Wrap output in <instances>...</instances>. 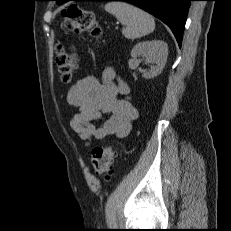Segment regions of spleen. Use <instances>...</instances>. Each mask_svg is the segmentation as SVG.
Instances as JSON below:
<instances>
[{"instance_id":"obj_1","label":"spleen","mask_w":231,"mask_h":231,"mask_svg":"<svg viewBox=\"0 0 231 231\" xmlns=\"http://www.w3.org/2000/svg\"><path fill=\"white\" fill-rule=\"evenodd\" d=\"M104 9L125 26L122 34L128 39L141 38L155 29L154 18L149 13L126 2H109Z\"/></svg>"}]
</instances>
